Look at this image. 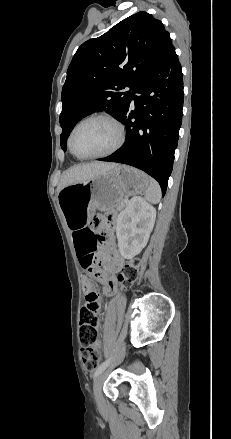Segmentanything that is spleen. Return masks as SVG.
<instances>
[{
  "label": "spleen",
  "instance_id": "3e777b00",
  "mask_svg": "<svg viewBox=\"0 0 231 439\" xmlns=\"http://www.w3.org/2000/svg\"><path fill=\"white\" fill-rule=\"evenodd\" d=\"M144 198L146 201H148L152 204H157L160 201L161 188L155 179H153V178L149 179V185H148L147 190L145 191Z\"/></svg>",
  "mask_w": 231,
  "mask_h": 439
}]
</instances>
